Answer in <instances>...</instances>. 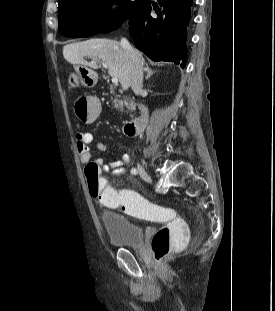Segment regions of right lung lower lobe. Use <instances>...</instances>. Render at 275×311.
Segmentation results:
<instances>
[{
    "label": "right lung lower lobe",
    "instance_id": "right-lung-lower-lobe-1",
    "mask_svg": "<svg viewBox=\"0 0 275 311\" xmlns=\"http://www.w3.org/2000/svg\"><path fill=\"white\" fill-rule=\"evenodd\" d=\"M193 0H158L162 11L145 3L129 16V31L136 47L154 61L186 64V36ZM158 16H152V10ZM88 27L79 37L94 35Z\"/></svg>",
    "mask_w": 275,
    "mask_h": 311
}]
</instances>
